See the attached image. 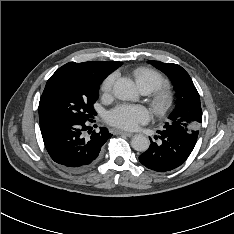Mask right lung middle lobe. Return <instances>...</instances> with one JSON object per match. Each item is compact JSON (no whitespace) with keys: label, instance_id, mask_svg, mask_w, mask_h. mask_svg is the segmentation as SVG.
<instances>
[{"label":"right lung middle lobe","instance_id":"1","mask_svg":"<svg viewBox=\"0 0 234 234\" xmlns=\"http://www.w3.org/2000/svg\"><path fill=\"white\" fill-rule=\"evenodd\" d=\"M101 80L59 68L47 81L39 102V122L67 117L87 120L96 114L93 104Z\"/></svg>","mask_w":234,"mask_h":234}]
</instances>
